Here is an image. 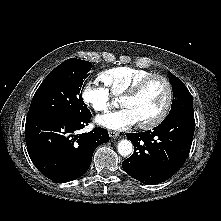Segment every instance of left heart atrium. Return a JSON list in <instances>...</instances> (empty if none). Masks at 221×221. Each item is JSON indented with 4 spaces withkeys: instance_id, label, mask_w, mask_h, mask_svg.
Here are the masks:
<instances>
[{
    "instance_id": "39dd6f15",
    "label": "left heart atrium",
    "mask_w": 221,
    "mask_h": 221,
    "mask_svg": "<svg viewBox=\"0 0 221 221\" xmlns=\"http://www.w3.org/2000/svg\"><path fill=\"white\" fill-rule=\"evenodd\" d=\"M96 122L101 126L113 130H122L138 123L135 115L128 108H123L121 110L99 116L97 117Z\"/></svg>"
}]
</instances>
